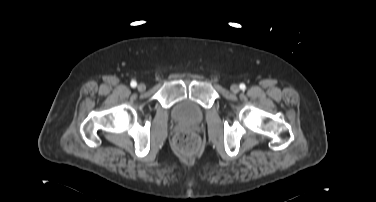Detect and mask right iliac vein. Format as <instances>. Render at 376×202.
I'll return each mask as SVG.
<instances>
[{
  "mask_svg": "<svg viewBox=\"0 0 376 202\" xmlns=\"http://www.w3.org/2000/svg\"><path fill=\"white\" fill-rule=\"evenodd\" d=\"M137 89H138L140 92H143V91H145V89H146V85L143 84V83H141V84L138 85Z\"/></svg>",
  "mask_w": 376,
  "mask_h": 202,
  "instance_id": "1",
  "label": "right iliac vein"
}]
</instances>
